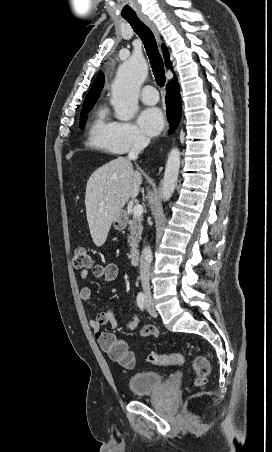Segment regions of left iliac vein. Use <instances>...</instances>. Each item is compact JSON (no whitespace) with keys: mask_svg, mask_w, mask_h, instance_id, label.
<instances>
[{"mask_svg":"<svg viewBox=\"0 0 272 452\" xmlns=\"http://www.w3.org/2000/svg\"><path fill=\"white\" fill-rule=\"evenodd\" d=\"M146 307H147V311L149 312V314L153 317H156L157 314H156L153 304L151 302H147Z\"/></svg>","mask_w":272,"mask_h":452,"instance_id":"obj_1","label":"left iliac vein"}]
</instances>
